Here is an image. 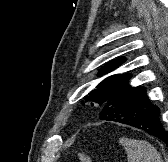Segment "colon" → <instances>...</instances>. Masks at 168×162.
Here are the masks:
<instances>
[{
    "label": "colon",
    "mask_w": 168,
    "mask_h": 162,
    "mask_svg": "<svg viewBox=\"0 0 168 162\" xmlns=\"http://www.w3.org/2000/svg\"><path fill=\"white\" fill-rule=\"evenodd\" d=\"M78 162H92L91 158L85 153H79L77 155Z\"/></svg>",
    "instance_id": "colon-1"
}]
</instances>
